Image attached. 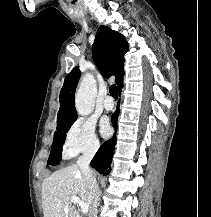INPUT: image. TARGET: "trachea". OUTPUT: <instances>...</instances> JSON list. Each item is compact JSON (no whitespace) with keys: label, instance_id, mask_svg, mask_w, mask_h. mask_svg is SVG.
Returning <instances> with one entry per match:
<instances>
[{"label":"trachea","instance_id":"obj_1","mask_svg":"<svg viewBox=\"0 0 211 217\" xmlns=\"http://www.w3.org/2000/svg\"><path fill=\"white\" fill-rule=\"evenodd\" d=\"M109 92L114 99L118 98V90L115 84L110 86Z\"/></svg>","mask_w":211,"mask_h":217}]
</instances>
